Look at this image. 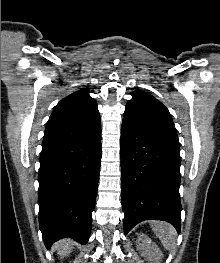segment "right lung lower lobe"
Segmentation results:
<instances>
[{
  "label": "right lung lower lobe",
  "mask_w": 220,
  "mask_h": 263,
  "mask_svg": "<svg viewBox=\"0 0 220 263\" xmlns=\"http://www.w3.org/2000/svg\"><path fill=\"white\" fill-rule=\"evenodd\" d=\"M101 163V127L81 138H46L39 169V226L46 247L62 237L85 244Z\"/></svg>",
  "instance_id": "98d812e1"
}]
</instances>
